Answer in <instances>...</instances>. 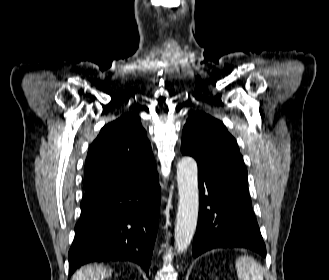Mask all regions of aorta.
Masks as SVG:
<instances>
[{
	"instance_id": "762f6f07",
	"label": "aorta",
	"mask_w": 329,
	"mask_h": 280,
	"mask_svg": "<svg viewBox=\"0 0 329 280\" xmlns=\"http://www.w3.org/2000/svg\"><path fill=\"white\" fill-rule=\"evenodd\" d=\"M178 212L175 225V247L183 253L189 247L198 219V167L191 157L182 158L177 165Z\"/></svg>"
}]
</instances>
